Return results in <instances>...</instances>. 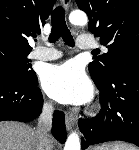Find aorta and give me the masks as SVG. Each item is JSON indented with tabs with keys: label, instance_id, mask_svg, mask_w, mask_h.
<instances>
[{
	"label": "aorta",
	"instance_id": "aorta-1",
	"mask_svg": "<svg viewBox=\"0 0 139 150\" xmlns=\"http://www.w3.org/2000/svg\"><path fill=\"white\" fill-rule=\"evenodd\" d=\"M69 21L73 25L84 26L88 22V17L85 12L76 10L70 13ZM64 150H81L80 138L76 132L68 136Z\"/></svg>",
	"mask_w": 139,
	"mask_h": 150
}]
</instances>
